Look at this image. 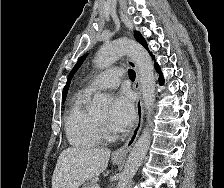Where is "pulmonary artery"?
<instances>
[{"instance_id":"pulmonary-artery-1","label":"pulmonary artery","mask_w":224,"mask_h":188,"mask_svg":"<svg viewBox=\"0 0 224 188\" xmlns=\"http://www.w3.org/2000/svg\"><path fill=\"white\" fill-rule=\"evenodd\" d=\"M124 71L121 68H110L98 74L86 87V90L93 92L97 89H111L119 85Z\"/></svg>"}]
</instances>
